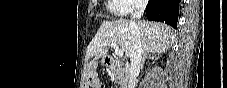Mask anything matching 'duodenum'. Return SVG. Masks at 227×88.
<instances>
[{
  "instance_id": "410a0bca",
  "label": "duodenum",
  "mask_w": 227,
  "mask_h": 88,
  "mask_svg": "<svg viewBox=\"0 0 227 88\" xmlns=\"http://www.w3.org/2000/svg\"><path fill=\"white\" fill-rule=\"evenodd\" d=\"M114 62H115L114 59H112V58H109V59H108V58H107V59H106L105 65H106V66H109L110 64H113Z\"/></svg>"
}]
</instances>
